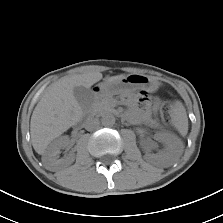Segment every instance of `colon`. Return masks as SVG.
Listing matches in <instances>:
<instances>
[{
  "label": "colon",
  "instance_id": "colon-1",
  "mask_svg": "<svg viewBox=\"0 0 223 223\" xmlns=\"http://www.w3.org/2000/svg\"><path fill=\"white\" fill-rule=\"evenodd\" d=\"M171 106H172V104H171L170 101H167V102L165 103V105H164V110H165V113H166V115H165V122H166V124H168V125L171 123V118H170V116L168 115V112H169V110L171 109Z\"/></svg>",
  "mask_w": 223,
  "mask_h": 223
}]
</instances>
